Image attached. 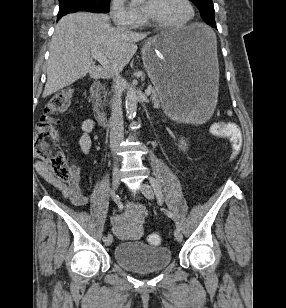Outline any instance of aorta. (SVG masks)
Listing matches in <instances>:
<instances>
[{
  "instance_id": "762f6f07",
  "label": "aorta",
  "mask_w": 286,
  "mask_h": 308,
  "mask_svg": "<svg viewBox=\"0 0 286 308\" xmlns=\"http://www.w3.org/2000/svg\"><path fill=\"white\" fill-rule=\"evenodd\" d=\"M138 96L135 87H130L126 92V114L129 120L133 119L137 111Z\"/></svg>"
}]
</instances>
